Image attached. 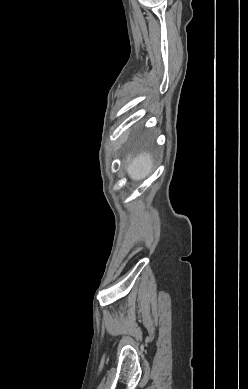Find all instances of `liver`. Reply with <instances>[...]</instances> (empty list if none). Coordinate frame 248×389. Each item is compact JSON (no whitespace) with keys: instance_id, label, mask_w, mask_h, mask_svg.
Returning a JSON list of instances; mask_svg holds the SVG:
<instances>
[{"instance_id":"obj_1","label":"liver","mask_w":248,"mask_h":389,"mask_svg":"<svg viewBox=\"0 0 248 389\" xmlns=\"http://www.w3.org/2000/svg\"><path fill=\"white\" fill-rule=\"evenodd\" d=\"M154 162L148 152H143L131 159L126 167L127 174L133 180L145 179L152 171Z\"/></svg>"}]
</instances>
